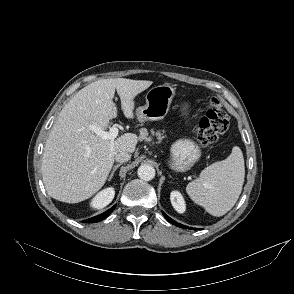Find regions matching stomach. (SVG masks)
Returning a JSON list of instances; mask_svg holds the SVG:
<instances>
[{
    "label": "stomach",
    "mask_w": 294,
    "mask_h": 294,
    "mask_svg": "<svg viewBox=\"0 0 294 294\" xmlns=\"http://www.w3.org/2000/svg\"><path fill=\"white\" fill-rule=\"evenodd\" d=\"M176 90L169 84L155 86L145 95L146 104L138 107L136 116L139 122L163 119L170 108ZM190 105L184 103L182 110H189ZM171 169L177 172L189 170L201 157V150L197 143L190 139H179L170 147Z\"/></svg>",
    "instance_id": "stomach-1"
}]
</instances>
